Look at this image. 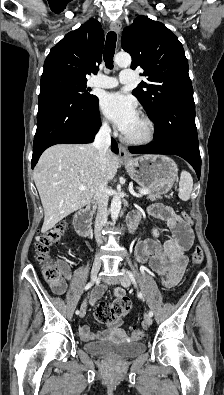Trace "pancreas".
I'll list each match as a JSON object with an SVG mask.
<instances>
[{
	"label": "pancreas",
	"instance_id": "1",
	"mask_svg": "<svg viewBox=\"0 0 224 395\" xmlns=\"http://www.w3.org/2000/svg\"><path fill=\"white\" fill-rule=\"evenodd\" d=\"M147 198L150 199L151 201H155L157 199H161V196L149 190V194H147Z\"/></svg>",
	"mask_w": 224,
	"mask_h": 395
}]
</instances>
